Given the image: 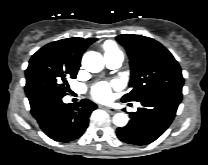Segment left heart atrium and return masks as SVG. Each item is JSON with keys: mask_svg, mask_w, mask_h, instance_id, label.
Masks as SVG:
<instances>
[{"mask_svg": "<svg viewBox=\"0 0 208 165\" xmlns=\"http://www.w3.org/2000/svg\"><path fill=\"white\" fill-rule=\"evenodd\" d=\"M116 86L105 81L96 83L91 89V95L100 102H106L111 98V88Z\"/></svg>", "mask_w": 208, "mask_h": 165, "instance_id": "39dd6f15", "label": "left heart atrium"}]
</instances>
